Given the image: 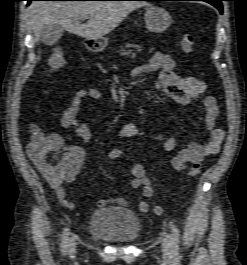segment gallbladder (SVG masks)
Returning a JSON list of instances; mask_svg holds the SVG:
<instances>
[{
  "label": "gallbladder",
  "instance_id": "obj_1",
  "mask_svg": "<svg viewBox=\"0 0 247 265\" xmlns=\"http://www.w3.org/2000/svg\"><path fill=\"white\" fill-rule=\"evenodd\" d=\"M64 33V29L59 25L46 24L40 33V41L47 45L52 46L56 44Z\"/></svg>",
  "mask_w": 247,
  "mask_h": 265
}]
</instances>
